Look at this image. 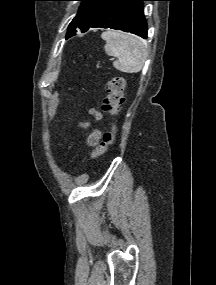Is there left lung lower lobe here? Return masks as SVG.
Segmentation results:
<instances>
[{
    "mask_svg": "<svg viewBox=\"0 0 216 285\" xmlns=\"http://www.w3.org/2000/svg\"><path fill=\"white\" fill-rule=\"evenodd\" d=\"M149 0H116L110 7L103 11L89 28H111L131 32L142 38H147V22L143 15V2ZM75 35L70 33L66 37Z\"/></svg>",
    "mask_w": 216,
    "mask_h": 285,
    "instance_id": "obj_1",
    "label": "left lung lower lobe"
}]
</instances>
